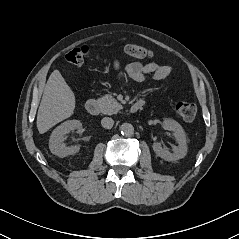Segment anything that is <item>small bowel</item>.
<instances>
[{"label":"small bowel","mask_w":239,"mask_h":239,"mask_svg":"<svg viewBox=\"0 0 239 239\" xmlns=\"http://www.w3.org/2000/svg\"><path fill=\"white\" fill-rule=\"evenodd\" d=\"M96 60L104 62V60L100 57H97ZM111 67L116 79H121L123 77V73L120 71V63L117 59L112 61ZM126 73L130 79L136 82L144 81L146 76H151L154 80L160 81L171 75L172 68L170 66L160 65L156 62L142 64L135 61L127 66Z\"/></svg>","instance_id":"obj_1"}]
</instances>
